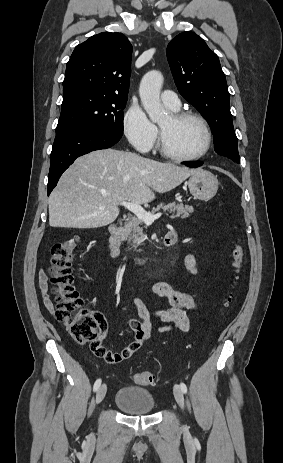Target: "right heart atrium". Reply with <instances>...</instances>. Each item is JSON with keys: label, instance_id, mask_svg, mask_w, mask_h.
<instances>
[{"label": "right heart atrium", "instance_id": "d8ad5b80", "mask_svg": "<svg viewBox=\"0 0 283 463\" xmlns=\"http://www.w3.org/2000/svg\"><path fill=\"white\" fill-rule=\"evenodd\" d=\"M123 128L129 143L137 150L147 152L154 146L157 128L139 105L133 104L128 108Z\"/></svg>", "mask_w": 283, "mask_h": 463}]
</instances>
